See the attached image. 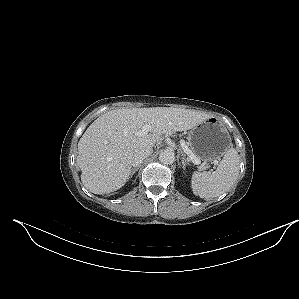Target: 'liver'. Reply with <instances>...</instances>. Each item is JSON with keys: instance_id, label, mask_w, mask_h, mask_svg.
<instances>
[{"instance_id": "obj_1", "label": "liver", "mask_w": 299, "mask_h": 299, "mask_svg": "<svg viewBox=\"0 0 299 299\" xmlns=\"http://www.w3.org/2000/svg\"><path fill=\"white\" fill-rule=\"evenodd\" d=\"M211 115L171 107L116 109L99 116L78 142L81 181L94 194L123 187L130 178L134 153L157 145L164 134L187 131ZM144 125L150 133L138 135Z\"/></svg>"}]
</instances>
